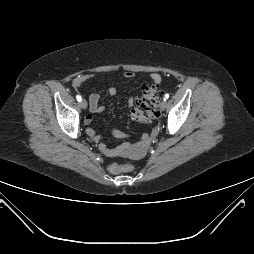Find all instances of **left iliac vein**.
<instances>
[{"label":"left iliac vein","instance_id":"left-iliac-vein-1","mask_svg":"<svg viewBox=\"0 0 254 254\" xmlns=\"http://www.w3.org/2000/svg\"><path fill=\"white\" fill-rule=\"evenodd\" d=\"M166 106H167L166 101L162 100L161 103H160V109L165 110Z\"/></svg>","mask_w":254,"mask_h":254}]
</instances>
